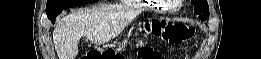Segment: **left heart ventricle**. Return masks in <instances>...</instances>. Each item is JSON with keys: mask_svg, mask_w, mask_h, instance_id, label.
<instances>
[{"mask_svg": "<svg viewBox=\"0 0 261 59\" xmlns=\"http://www.w3.org/2000/svg\"><path fill=\"white\" fill-rule=\"evenodd\" d=\"M167 3H169L171 5V7H174V5L177 3L176 0H169L167 1Z\"/></svg>", "mask_w": 261, "mask_h": 59, "instance_id": "1", "label": "left heart ventricle"}]
</instances>
